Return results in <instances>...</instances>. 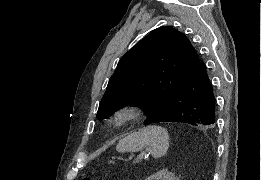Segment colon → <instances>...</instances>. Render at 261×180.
Instances as JSON below:
<instances>
[{
	"mask_svg": "<svg viewBox=\"0 0 261 180\" xmlns=\"http://www.w3.org/2000/svg\"><path fill=\"white\" fill-rule=\"evenodd\" d=\"M82 179L83 180H89V176H84Z\"/></svg>",
	"mask_w": 261,
	"mask_h": 180,
	"instance_id": "5ec220e1",
	"label": "colon"
}]
</instances>
